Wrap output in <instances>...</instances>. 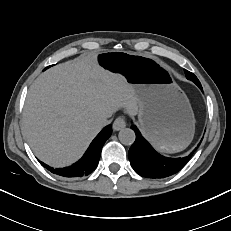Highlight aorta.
Instances as JSON below:
<instances>
[{"label": "aorta", "instance_id": "obj_1", "mask_svg": "<svg viewBox=\"0 0 231 231\" xmlns=\"http://www.w3.org/2000/svg\"><path fill=\"white\" fill-rule=\"evenodd\" d=\"M118 137L122 144L132 145L135 141V132L130 128H124L120 130Z\"/></svg>", "mask_w": 231, "mask_h": 231}]
</instances>
